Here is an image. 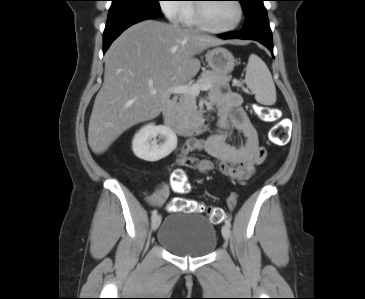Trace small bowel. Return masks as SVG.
Listing matches in <instances>:
<instances>
[{"label":"small bowel","instance_id":"c3829d8e","mask_svg":"<svg viewBox=\"0 0 365 299\" xmlns=\"http://www.w3.org/2000/svg\"><path fill=\"white\" fill-rule=\"evenodd\" d=\"M212 103L219 108L217 131L204 139H189L181 151L179 162L185 166L196 168L203 173L210 172L215 167L227 177L243 182L249 179L255 168L262 164L267 156L266 149L260 144L258 131L241 108L242 97L231 90L213 91L210 94ZM230 128L241 132L246 140L242 146L234 147L225 142V136ZM192 151H204L217 160L188 157ZM169 196V187L163 185L149 197L152 205H162Z\"/></svg>","mask_w":365,"mask_h":299}]
</instances>
